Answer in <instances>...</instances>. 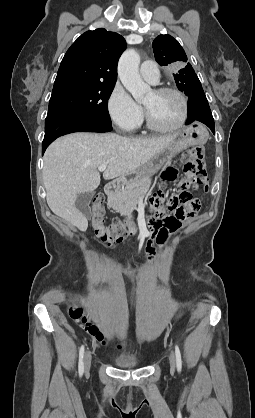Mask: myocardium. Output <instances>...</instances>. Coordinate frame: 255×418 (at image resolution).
<instances>
[{
    "instance_id": "obj_1",
    "label": "myocardium",
    "mask_w": 255,
    "mask_h": 418,
    "mask_svg": "<svg viewBox=\"0 0 255 418\" xmlns=\"http://www.w3.org/2000/svg\"><path fill=\"white\" fill-rule=\"evenodd\" d=\"M155 93L157 94H163V93H173L175 95H177L181 102H182V116L180 118V120L173 126L170 127H161L159 125H157L151 118L147 108L144 106V116H145V121H146V125L147 127L154 131V132H158V133H170V132H174L176 130H178L179 128H181L187 121L188 115H189V103H188V99L186 97V95L181 92L180 90L174 88V87H159L156 88L154 90Z\"/></svg>"
}]
</instances>
